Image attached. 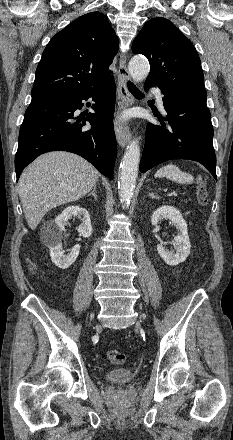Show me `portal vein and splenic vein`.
Returning a JSON list of instances; mask_svg holds the SVG:
<instances>
[{"mask_svg": "<svg viewBox=\"0 0 233 440\" xmlns=\"http://www.w3.org/2000/svg\"><path fill=\"white\" fill-rule=\"evenodd\" d=\"M170 195L176 196V195H177V192L174 191V192H172Z\"/></svg>", "mask_w": 233, "mask_h": 440, "instance_id": "1", "label": "portal vein and splenic vein"}]
</instances>
